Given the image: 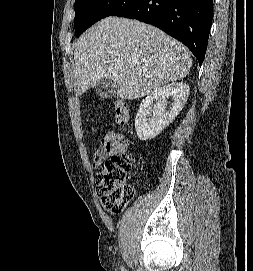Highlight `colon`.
<instances>
[{"label": "colon", "mask_w": 253, "mask_h": 271, "mask_svg": "<svg viewBox=\"0 0 253 271\" xmlns=\"http://www.w3.org/2000/svg\"><path fill=\"white\" fill-rule=\"evenodd\" d=\"M113 117L121 127H126L130 122V111L121 100L114 103ZM133 162L131 153L122 152L103 159L98 166L96 192L102 206L111 214L121 213L134 196V187L128 181Z\"/></svg>", "instance_id": "5ec220e1"}]
</instances>
